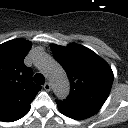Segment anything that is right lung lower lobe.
I'll use <instances>...</instances> for the list:
<instances>
[{
  "label": "right lung lower lobe",
  "instance_id": "98d812e1",
  "mask_svg": "<svg viewBox=\"0 0 128 128\" xmlns=\"http://www.w3.org/2000/svg\"><path fill=\"white\" fill-rule=\"evenodd\" d=\"M29 109H30V107H29L28 109H26L24 112H22L20 115H18V116H16V117L12 118L11 120H9V121H7V122H13V121H15V120H18V119L22 118L24 115L27 114V112L29 111Z\"/></svg>",
  "mask_w": 128,
  "mask_h": 128
}]
</instances>
